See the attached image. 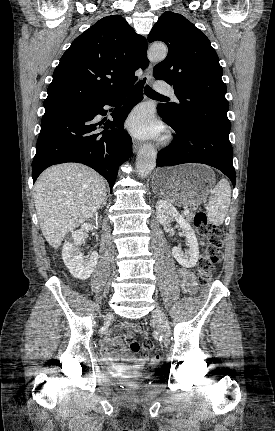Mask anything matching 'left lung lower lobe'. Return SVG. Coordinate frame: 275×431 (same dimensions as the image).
Returning a JSON list of instances; mask_svg holds the SVG:
<instances>
[{"label":"left lung lower lobe","instance_id":"left-lung-lower-lobe-1","mask_svg":"<svg viewBox=\"0 0 275 431\" xmlns=\"http://www.w3.org/2000/svg\"><path fill=\"white\" fill-rule=\"evenodd\" d=\"M157 111L177 135L168 147L158 152L156 167L203 163L222 171L235 186L230 130L201 125H177L167 120L158 108Z\"/></svg>","mask_w":275,"mask_h":431}]
</instances>
